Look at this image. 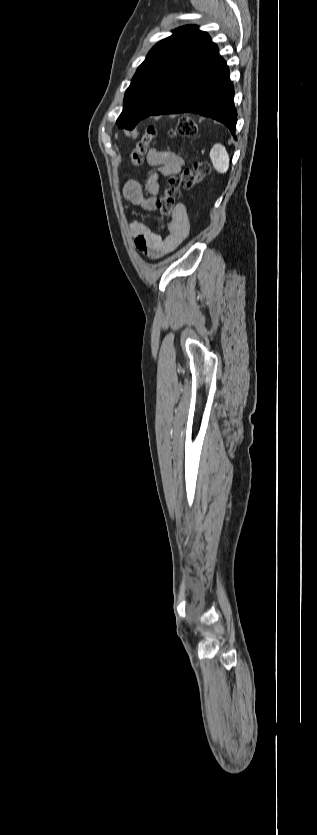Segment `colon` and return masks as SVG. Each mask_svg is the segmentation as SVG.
Masks as SVG:
<instances>
[{"mask_svg": "<svg viewBox=\"0 0 317 835\" xmlns=\"http://www.w3.org/2000/svg\"><path fill=\"white\" fill-rule=\"evenodd\" d=\"M198 133L197 125L191 117H183L179 120L175 130L170 131V136H181L184 138L195 137ZM156 136V130L150 126L145 134L136 143L132 153L133 163L136 165L144 161V155L148 144ZM210 174V166L205 161H195L191 168L185 169L179 176H171L167 180L163 195L157 203L158 211L163 219L172 216L182 189H190L200 180Z\"/></svg>", "mask_w": 317, "mask_h": 835, "instance_id": "colon-1", "label": "colon"}]
</instances>
